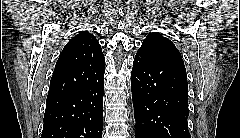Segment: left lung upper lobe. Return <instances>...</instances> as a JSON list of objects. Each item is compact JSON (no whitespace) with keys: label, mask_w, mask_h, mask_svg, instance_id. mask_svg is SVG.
<instances>
[{"label":"left lung upper lobe","mask_w":240,"mask_h":138,"mask_svg":"<svg viewBox=\"0 0 240 138\" xmlns=\"http://www.w3.org/2000/svg\"><path fill=\"white\" fill-rule=\"evenodd\" d=\"M140 56H167L182 59L174 44L160 33H150L137 51Z\"/></svg>","instance_id":"obj_1"}]
</instances>
